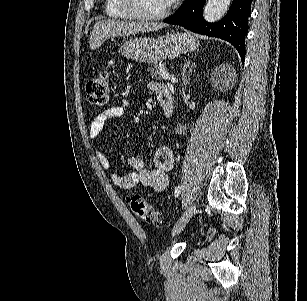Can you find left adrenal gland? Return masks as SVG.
I'll return each mask as SVG.
<instances>
[{
  "mask_svg": "<svg viewBox=\"0 0 307 301\" xmlns=\"http://www.w3.org/2000/svg\"><path fill=\"white\" fill-rule=\"evenodd\" d=\"M190 66H191V68H190ZM194 66H196V62H190V60H188V62H185L184 66L182 68L183 84H187V82H188V78L186 76L187 68H189V72H192Z\"/></svg>",
  "mask_w": 307,
  "mask_h": 301,
  "instance_id": "left-adrenal-gland-1",
  "label": "left adrenal gland"
}]
</instances>
